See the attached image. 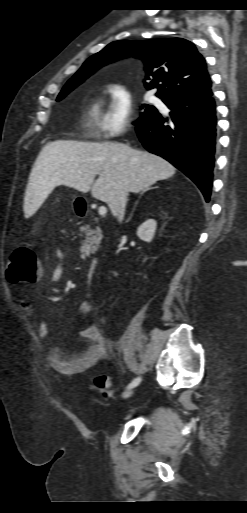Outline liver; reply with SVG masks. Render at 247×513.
Here are the masks:
<instances>
[{"label":"liver","instance_id":"1","mask_svg":"<svg viewBox=\"0 0 247 513\" xmlns=\"http://www.w3.org/2000/svg\"><path fill=\"white\" fill-rule=\"evenodd\" d=\"M175 171L163 158L125 144L57 140L46 144L34 163L24 213H35L56 186L64 185L82 193L91 189L92 196L106 202L116 216L115 203L124 188L138 193Z\"/></svg>","mask_w":247,"mask_h":513}]
</instances>
